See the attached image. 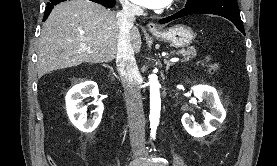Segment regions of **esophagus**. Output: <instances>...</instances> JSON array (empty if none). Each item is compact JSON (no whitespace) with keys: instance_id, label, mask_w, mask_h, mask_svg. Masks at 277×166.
<instances>
[{"instance_id":"34e87169","label":"esophagus","mask_w":277,"mask_h":166,"mask_svg":"<svg viewBox=\"0 0 277 166\" xmlns=\"http://www.w3.org/2000/svg\"><path fill=\"white\" fill-rule=\"evenodd\" d=\"M147 29L150 33H158L160 31V29L154 24V23H148L147 24Z\"/></svg>"}]
</instances>
